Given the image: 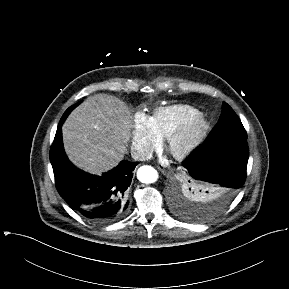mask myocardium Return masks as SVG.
<instances>
[{
	"instance_id": "obj_1",
	"label": "myocardium",
	"mask_w": 289,
	"mask_h": 289,
	"mask_svg": "<svg viewBox=\"0 0 289 289\" xmlns=\"http://www.w3.org/2000/svg\"><path fill=\"white\" fill-rule=\"evenodd\" d=\"M209 122L199 114L188 120L167 139V150L176 159H184L193 153L204 141Z\"/></svg>"
}]
</instances>
